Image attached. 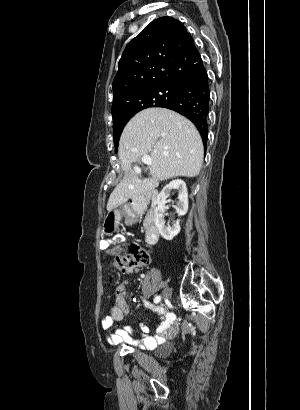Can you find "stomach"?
Masks as SVG:
<instances>
[{
	"mask_svg": "<svg viewBox=\"0 0 300 410\" xmlns=\"http://www.w3.org/2000/svg\"><path fill=\"white\" fill-rule=\"evenodd\" d=\"M123 217L129 219H134L135 217L128 205L108 211L103 222L104 234L112 235L118 229V225Z\"/></svg>",
	"mask_w": 300,
	"mask_h": 410,
	"instance_id": "obj_1",
	"label": "stomach"
}]
</instances>
